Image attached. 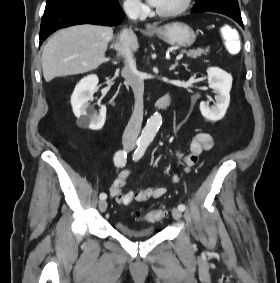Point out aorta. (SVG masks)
<instances>
[{
  "label": "aorta",
  "mask_w": 280,
  "mask_h": 283,
  "mask_svg": "<svg viewBox=\"0 0 280 283\" xmlns=\"http://www.w3.org/2000/svg\"><path fill=\"white\" fill-rule=\"evenodd\" d=\"M162 124V117L159 113L153 114L146 123L145 128L142 131L140 142L144 144L150 143L156 133L158 132L160 126Z\"/></svg>",
  "instance_id": "762f6f07"
}]
</instances>
